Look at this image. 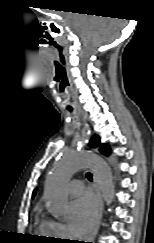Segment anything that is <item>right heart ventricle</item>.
Listing matches in <instances>:
<instances>
[{"instance_id": "1", "label": "right heart ventricle", "mask_w": 154, "mask_h": 243, "mask_svg": "<svg viewBox=\"0 0 154 243\" xmlns=\"http://www.w3.org/2000/svg\"><path fill=\"white\" fill-rule=\"evenodd\" d=\"M38 214H39V211H38ZM38 232L41 235H44L46 237H52V236H54L53 233H52V230H51V226H50L49 220H46V219H43V218H41L39 220Z\"/></svg>"}]
</instances>
